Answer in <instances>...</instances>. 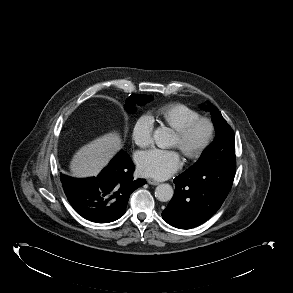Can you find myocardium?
Returning <instances> with one entry per match:
<instances>
[{"label":"myocardium","mask_w":293,"mask_h":293,"mask_svg":"<svg viewBox=\"0 0 293 293\" xmlns=\"http://www.w3.org/2000/svg\"><path fill=\"white\" fill-rule=\"evenodd\" d=\"M205 126L207 129L206 136L203 142L196 148L187 147V142L200 126ZM176 135L180 140L179 148L182 153L189 159L199 158L212 144L215 136V125L209 118L199 117L189 124H187L182 129L176 131Z\"/></svg>","instance_id":"f54148a6"}]
</instances>
